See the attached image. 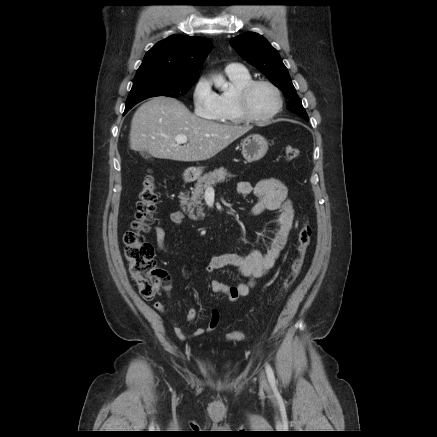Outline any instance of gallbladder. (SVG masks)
Listing matches in <instances>:
<instances>
[{
    "mask_svg": "<svg viewBox=\"0 0 437 437\" xmlns=\"http://www.w3.org/2000/svg\"><path fill=\"white\" fill-rule=\"evenodd\" d=\"M140 154L145 158V159H149L151 156L149 154V152L142 150L140 151Z\"/></svg>",
    "mask_w": 437,
    "mask_h": 437,
    "instance_id": "gallbladder-1",
    "label": "gallbladder"
}]
</instances>
